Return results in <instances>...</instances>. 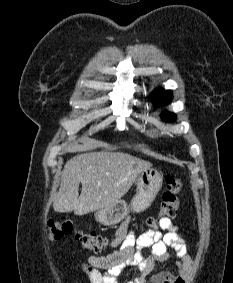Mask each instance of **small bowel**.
I'll list each match as a JSON object with an SVG mask.
<instances>
[{
	"mask_svg": "<svg viewBox=\"0 0 233 283\" xmlns=\"http://www.w3.org/2000/svg\"><path fill=\"white\" fill-rule=\"evenodd\" d=\"M130 218H127L111 241V247L118 250L107 256H91L83 265L90 283H118V278L125 266H134L138 275L126 283H185L194 266L189 255V246L178 232L177 226L170 219L160 221L159 230H149L138 237L129 229ZM149 253L146 254V251ZM172 251V252H171ZM172 260L177 274L161 272L149 280L157 262Z\"/></svg>",
	"mask_w": 233,
	"mask_h": 283,
	"instance_id": "small-bowel-1",
	"label": "small bowel"
}]
</instances>
